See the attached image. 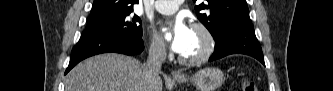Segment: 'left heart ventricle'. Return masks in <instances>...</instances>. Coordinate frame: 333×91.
<instances>
[{"mask_svg": "<svg viewBox=\"0 0 333 91\" xmlns=\"http://www.w3.org/2000/svg\"><path fill=\"white\" fill-rule=\"evenodd\" d=\"M204 45L203 37L196 31L191 29L190 37L186 49L181 54L183 56L192 57L198 54Z\"/></svg>", "mask_w": 333, "mask_h": 91, "instance_id": "left-heart-ventricle-1", "label": "left heart ventricle"}]
</instances>
